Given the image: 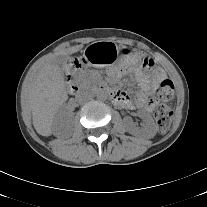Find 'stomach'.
Masks as SVG:
<instances>
[{
	"label": "stomach",
	"instance_id": "obj_1",
	"mask_svg": "<svg viewBox=\"0 0 207 207\" xmlns=\"http://www.w3.org/2000/svg\"><path fill=\"white\" fill-rule=\"evenodd\" d=\"M83 57L91 66L114 72L120 60L119 47L109 41L94 42L86 47Z\"/></svg>",
	"mask_w": 207,
	"mask_h": 207
}]
</instances>
